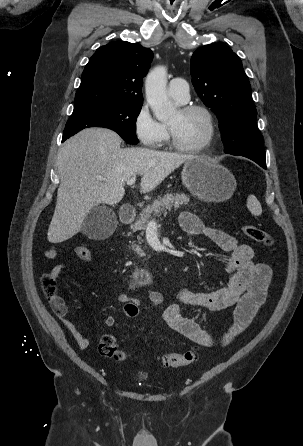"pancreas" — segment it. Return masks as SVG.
I'll use <instances>...</instances> for the list:
<instances>
[{"instance_id":"obj_1","label":"pancreas","mask_w":303,"mask_h":446,"mask_svg":"<svg viewBox=\"0 0 303 446\" xmlns=\"http://www.w3.org/2000/svg\"><path fill=\"white\" fill-rule=\"evenodd\" d=\"M189 200L190 198L183 193H167L163 197H159L157 200H154L152 204H148L146 208L142 210L136 222L132 226L133 231L136 232L138 230H145L146 225L152 216L160 217L161 214L165 215L171 210H177L183 204L187 205ZM140 247L141 246L139 245L132 244V248L138 256L143 255V251Z\"/></svg>"}]
</instances>
